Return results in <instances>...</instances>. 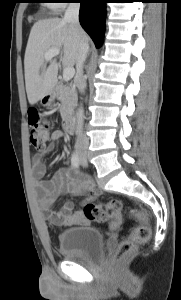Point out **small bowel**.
I'll return each mask as SVG.
<instances>
[{
  "label": "small bowel",
  "mask_w": 181,
  "mask_h": 300,
  "mask_svg": "<svg viewBox=\"0 0 181 300\" xmlns=\"http://www.w3.org/2000/svg\"><path fill=\"white\" fill-rule=\"evenodd\" d=\"M63 137L59 130L52 134V142L47 146L43 153L35 155L33 160L34 185L36 193L41 201L43 209L47 213V221L58 226H77L87 225L89 220L81 210H76L72 202L68 201L63 206L55 210L53 208L57 199L63 194L79 195L85 194L86 201L96 199L101 191L96 188L90 180L83 175L75 172L72 166L57 169L52 177L44 179L47 170L44 165V154L51 152L55 148L56 141Z\"/></svg>",
  "instance_id": "small-bowel-1"
}]
</instances>
